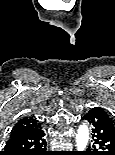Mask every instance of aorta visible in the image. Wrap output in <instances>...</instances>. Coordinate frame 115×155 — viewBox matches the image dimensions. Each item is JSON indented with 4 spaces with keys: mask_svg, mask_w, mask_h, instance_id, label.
I'll return each mask as SVG.
<instances>
[{
    "mask_svg": "<svg viewBox=\"0 0 115 155\" xmlns=\"http://www.w3.org/2000/svg\"><path fill=\"white\" fill-rule=\"evenodd\" d=\"M89 141V128L83 124L78 128L76 136V146L78 151H84Z\"/></svg>",
    "mask_w": 115,
    "mask_h": 155,
    "instance_id": "aorta-1",
    "label": "aorta"
}]
</instances>
